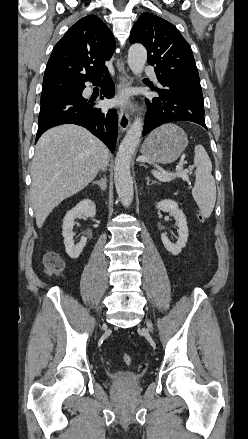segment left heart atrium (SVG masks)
Returning <instances> with one entry per match:
<instances>
[{
	"label": "left heart atrium",
	"mask_w": 248,
	"mask_h": 439,
	"mask_svg": "<svg viewBox=\"0 0 248 439\" xmlns=\"http://www.w3.org/2000/svg\"><path fill=\"white\" fill-rule=\"evenodd\" d=\"M116 103H118V104H126V103H127V95H125V94H121V95L117 98Z\"/></svg>",
	"instance_id": "left-heart-atrium-1"
}]
</instances>
